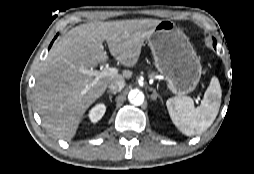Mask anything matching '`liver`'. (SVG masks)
<instances>
[{"label":"liver","mask_w":254,"mask_h":174,"mask_svg":"<svg viewBox=\"0 0 254 174\" xmlns=\"http://www.w3.org/2000/svg\"><path fill=\"white\" fill-rule=\"evenodd\" d=\"M158 19L90 22L72 28L53 45L43 61L34 92L36 110L46 129L54 136L72 139L86 110L116 80L130 79L131 71L111 77L85 74L108 60L102 43L122 65L137 64L144 41L158 25Z\"/></svg>","instance_id":"6515ba94"}]
</instances>
